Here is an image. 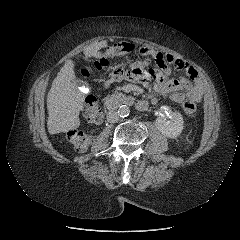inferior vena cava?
Segmentation results:
<instances>
[{"label": "inferior vena cava", "instance_id": "inferior-vena-cava-1", "mask_svg": "<svg viewBox=\"0 0 240 240\" xmlns=\"http://www.w3.org/2000/svg\"><path fill=\"white\" fill-rule=\"evenodd\" d=\"M107 121L109 122V123H115V122H117L118 121V119H119V115H118V113L117 112H115V111H109L108 113H107Z\"/></svg>", "mask_w": 240, "mask_h": 240}]
</instances>
